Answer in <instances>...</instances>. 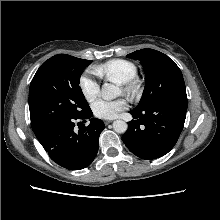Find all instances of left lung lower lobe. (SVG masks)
<instances>
[{"label":"left lung lower lobe","mask_w":220,"mask_h":220,"mask_svg":"<svg viewBox=\"0 0 220 220\" xmlns=\"http://www.w3.org/2000/svg\"><path fill=\"white\" fill-rule=\"evenodd\" d=\"M187 105V96H178L162 100L142 112L130 111L135 120L128 122L123 142L142 159L151 160L167 154L181 134Z\"/></svg>","instance_id":"left-lung-lower-lobe-1"}]
</instances>
